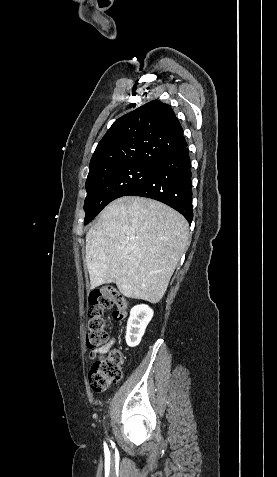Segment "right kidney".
Listing matches in <instances>:
<instances>
[{
  "label": "right kidney",
  "instance_id": "obj_1",
  "mask_svg": "<svg viewBox=\"0 0 277 477\" xmlns=\"http://www.w3.org/2000/svg\"><path fill=\"white\" fill-rule=\"evenodd\" d=\"M153 310L147 305H136L130 311L127 322L126 343L130 347L137 346L145 333V329L153 317Z\"/></svg>",
  "mask_w": 277,
  "mask_h": 477
}]
</instances>
